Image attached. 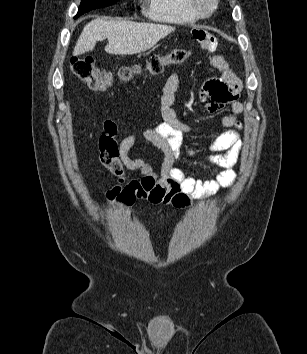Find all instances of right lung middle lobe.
Wrapping results in <instances>:
<instances>
[{
    "instance_id": "right-lung-middle-lobe-1",
    "label": "right lung middle lobe",
    "mask_w": 307,
    "mask_h": 354,
    "mask_svg": "<svg viewBox=\"0 0 307 354\" xmlns=\"http://www.w3.org/2000/svg\"><path fill=\"white\" fill-rule=\"evenodd\" d=\"M117 1L118 0H82L75 18L87 11L112 5Z\"/></svg>"
}]
</instances>
